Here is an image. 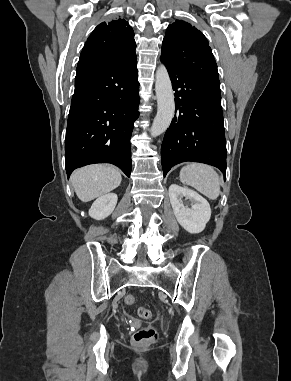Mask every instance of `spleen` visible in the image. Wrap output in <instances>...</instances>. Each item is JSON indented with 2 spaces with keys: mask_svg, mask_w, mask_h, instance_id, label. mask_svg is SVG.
Masks as SVG:
<instances>
[{
  "mask_svg": "<svg viewBox=\"0 0 291 381\" xmlns=\"http://www.w3.org/2000/svg\"><path fill=\"white\" fill-rule=\"evenodd\" d=\"M180 181L198 190L211 200L220 194V182L217 172L209 165L190 163L180 170Z\"/></svg>",
  "mask_w": 291,
  "mask_h": 381,
  "instance_id": "spleen-1",
  "label": "spleen"
}]
</instances>
